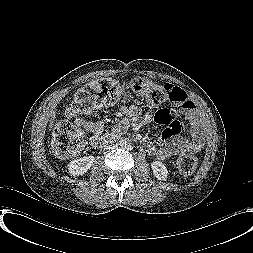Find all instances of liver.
<instances>
[{
	"label": "liver",
	"mask_w": 253,
	"mask_h": 253,
	"mask_svg": "<svg viewBox=\"0 0 253 253\" xmlns=\"http://www.w3.org/2000/svg\"><path fill=\"white\" fill-rule=\"evenodd\" d=\"M54 121H55V113L53 112V113L51 114V119H50V124H49V127H50V128L53 127Z\"/></svg>",
	"instance_id": "1"
}]
</instances>
